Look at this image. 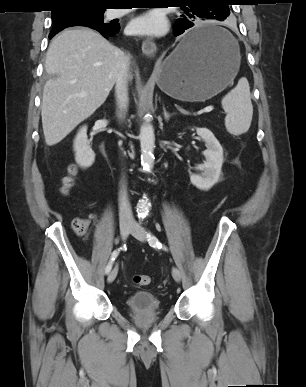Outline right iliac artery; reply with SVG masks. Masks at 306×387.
Listing matches in <instances>:
<instances>
[{
	"label": "right iliac artery",
	"mask_w": 306,
	"mask_h": 387,
	"mask_svg": "<svg viewBox=\"0 0 306 387\" xmlns=\"http://www.w3.org/2000/svg\"><path fill=\"white\" fill-rule=\"evenodd\" d=\"M119 251H120V249H117V250L113 251V253L111 255V258H110V260H109V262H108V264H107V266L105 268V273H109L111 271L113 262L117 258L118 254H119Z\"/></svg>",
	"instance_id": "right-iliac-artery-1"
}]
</instances>
